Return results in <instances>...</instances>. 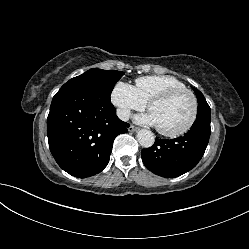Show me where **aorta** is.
Returning <instances> with one entry per match:
<instances>
[{"label":"aorta","instance_id":"762f6f07","mask_svg":"<svg viewBox=\"0 0 249 249\" xmlns=\"http://www.w3.org/2000/svg\"><path fill=\"white\" fill-rule=\"evenodd\" d=\"M137 140L141 146L149 148L154 144L155 136L150 130L142 129L137 132Z\"/></svg>","mask_w":249,"mask_h":249}]
</instances>
